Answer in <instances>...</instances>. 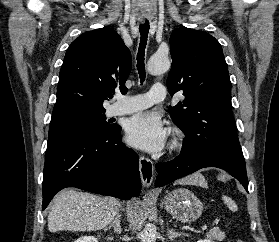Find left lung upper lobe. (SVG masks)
Here are the masks:
<instances>
[{
    "mask_svg": "<svg viewBox=\"0 0 279 242\" xmlns=\"http://www.w3.org/2000/svg\"><path fill=\"white\" fill-rule=\"evenodd\" d=\"M172 68L167 79L171 96L183 102L170 107L185 133L181 153L222 152L243 157L231 109V82L222 47L210 34L176 28L170 36Z\"/></svg>",
    "mask_w": 279,
    "mask_h": 242,
    "instance_id": "left-lung-upper-lobe-1",
    "label": "left lung upper lobe"
}]
</instances>
